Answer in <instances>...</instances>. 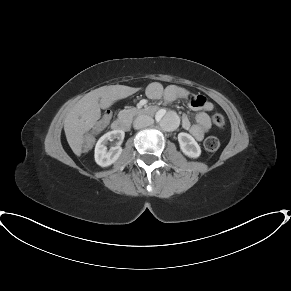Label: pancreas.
<instances>
[{
	"mask_svg": "<svg viewBox=\"0 0 291 291\" xmlns=\"http://www.w3.org/2000/svg\"><path fill=\"white\" fill-rule=\"evenodd\" d=\"M140 111L136 108H130L128 110H122L119 112L118 117L120 119H129L132 120L133 117L137 114H139Z\"/></svg>",
	"mask_w": 291,
	"mask_h": 291,
	"instance_id": "1",
	"label": "pancreas"
}]
</instances>
